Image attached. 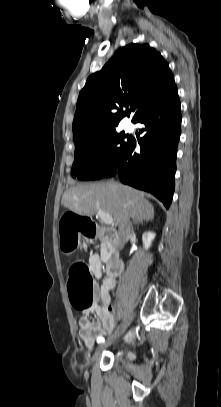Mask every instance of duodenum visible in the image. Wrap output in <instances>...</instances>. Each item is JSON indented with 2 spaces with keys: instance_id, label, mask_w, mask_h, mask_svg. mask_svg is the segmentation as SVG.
Here are the masks:
<instances>
[{
  "instance_id": "duodenum-1",
  "label": "duodenum",
  "mask_w": 221,
  "mask_h": 407,
  "mask_svg": "<svg viewBox=\"0 0 221 407\" xmlns=\"http://www.w3.org/2000/svg\"><path fill=\"white\" fill-rule=\"evenodd\" d=\"M100 231H97V234ZM101 232H105L110 236H115V232L109 228H102ZM124 270V263L121 258L112 256L107 263V272L111 277H118Z\"/></svg>"
}]
</instances>
